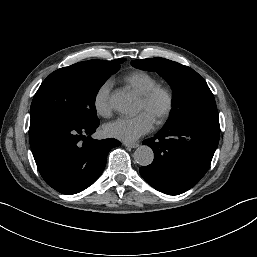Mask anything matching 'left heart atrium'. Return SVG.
I'll return each instance as SVG.
<instances>
[{"mask_svg": "<svg viewBox=\"0 0 257 257\" xmlns=\"http://www.w3.org/2000/svg\"><path fill=\"white\" fill-rule=\"evenodd\" d=\"M155 127V120L146 112L135 117H121L104 126L106 136L124 142H134L151 132Z\"/></svg>", "mask_w": 257, "mask_h": 257, "instance_id": "39dd6f15", "label": "left heart atrium"}]
</instances>
